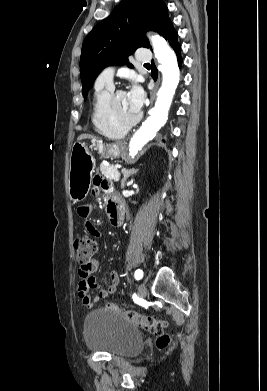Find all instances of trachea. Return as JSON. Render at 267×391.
<instances>
[{
    "label": "trachea",
    "mask_w": 267,
    "mask_h": 391,
    "mask_svg": "<svg viewBox=\"0 0 267 391\" xmlns=\"http://www.w3.org/2000/svg\"><path fill=\"white\" fill-rule=\"evenodd\" d=\"M145 66H150V64L149 63H146V64H144Z\"/></svg>",
    "instance_id": "1"
}]
</instances>
